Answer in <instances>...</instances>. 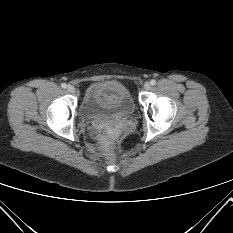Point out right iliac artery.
Wrapping results in <instances>:
<instances>
[{
    "instance_id": "obj_1",
    "label": "right iliac artery",
    "mask_w": 233,
    "mask_h": 233,
    "mask_svg": "<svg viewBox=\"0 0 233 233\" xmlns=\"http://www.w3.org/2000/svg\"><path fill=\"white\" fill-rule=\"evenodd\" d=\"M61 87H62L63 89H65V88L67 87V85H66L65 83H62V84H61Z\"/></svg>"
}]
</instances>
